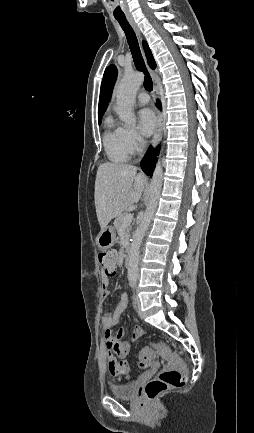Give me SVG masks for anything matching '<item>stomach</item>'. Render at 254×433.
I'll return each mask as SVG.
<instances>
[{
	"mask_svg": "<svg viewBox=\"0 0 254 433\" xmlns=\"http://www.w3.org/2000/svg\"><path fill=\"white\" fill-rule=\"evenodd\" d=\"M115 239V230L113 227L109 226L100 231L96 238V243L100 249H107L113 246Z\"/></svg>",
	"mask_w": 254,
	"mask_h": 433,
	"instance_id": "0dacf381",
	"label": "stomach"
}]
</instances>
